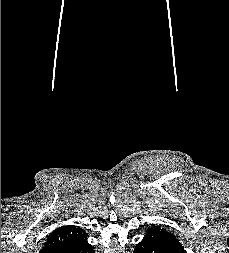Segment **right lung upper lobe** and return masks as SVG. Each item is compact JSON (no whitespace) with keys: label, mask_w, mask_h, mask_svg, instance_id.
I'll return each instance as SVG.
<instances>
[{"label":"right lung upper lobe","mask_w":229,"mask_h":253,"mask_svg":"<svg viewBox=\"0 0 229 253\" xmlns=\"http://www.w3.org/2000/svg\"><path fill=\"white\" fill-rule=\"evenodd\" d=\"M86 237L87 233L74 225L59 227L48 236L39 253H57L83 241Z\"/></svg>","instance_id":"right-lung-upper-lobe-1"}]
</instances>
